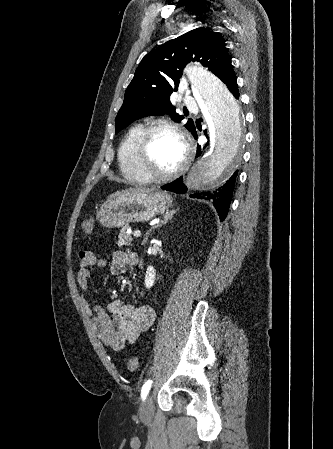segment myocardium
I'll use <instances>...</instances> for the list:
<instances>
[{
	"instance_id": "f54148a6",
	"label": "myocardium",
	"mask_w": 333,
	"mask_h": 449,
	"mask_svg": "<svg viewBox=\"0 0 333 449\" xmlns=\"http://www.w3.org/2000/svg\"><path fill=\"white\" fill-rule=\"evenodd\" d=\"M158 131H168L176 135L181 141L184 148V158L179 166L169 173H155L150 170L147 166V157L149 153V144L152 136ZM193 150L191 144L184 134V132L176 125L165 122L156 121L146 126L136 144V163L139 172L149 181V182H167L174 180L180 176L190 165L192 161Z\"/></svg>"
}]
</instances>
